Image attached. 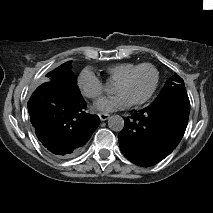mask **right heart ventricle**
Instances as JSON below:
<instances>
[{
  "instance_id": "1",
  "label": "right heart ventricle",
  "mask_w": 213,
  "mask_h": 213,
  "mask_svg": "<svg viewBox=\"0 0 213 213\" xmlns=\"http://www.w3.org/2000/svg\"><path fill=\"white\" fill-rule=\"evenodd\" d=\"M139 65L141 64H136L133 62H122V63H118V64L107 67L105 71L107 75L109 76V80L112 83H116L120 78L128 74L133 68Z\"/></svg>"
}]
</instances>
